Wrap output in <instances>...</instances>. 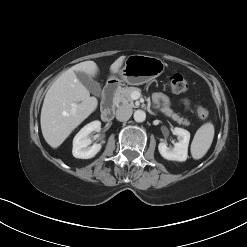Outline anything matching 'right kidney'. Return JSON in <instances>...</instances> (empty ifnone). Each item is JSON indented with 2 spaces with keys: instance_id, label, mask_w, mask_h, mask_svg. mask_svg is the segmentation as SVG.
Segmentation results:
<instances>
[{
  "instance_id": "1",
  "label": "right kidney",
  "mask_w": 247,
  "mask_h": 247,
  "mask_svg": "<svg viewBox=\"0 0 247 247\" xmlns=\"http://www.w3.org/2000/svg\"><path fill=\"white\" fill-rule=\"evenodd\" d=\"M101 122L93 121L85 125L74 137L73 139V150L72 154L75 158L79 159H89L94 157L100 150L101 144H93L89 135L93 131H100Z\"/></svg>"
}]
</instances>
